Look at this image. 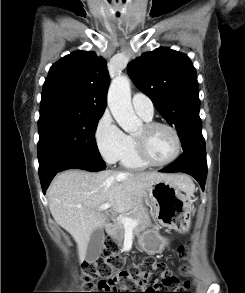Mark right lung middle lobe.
<instances>
[{
    "mask_svg": "<svg viewBox=\"0 0 245 293\" xmlns=\"http://www.w3.org/2000/svg\"><path fill=\"white\" fill-rule=\"evenodd\" d=\"M101 116L60 110L40 113L37 146L39 172L67 155L101 158L95 141Z\"/></svg>",
    "mask_w": 245,
    "mask_h": 293,
    "instance_id": "right-lung-middle-lobe-1",
    "label": "right lung middle lobe"
}]
</instances>
